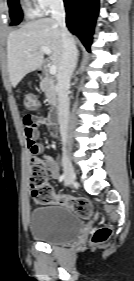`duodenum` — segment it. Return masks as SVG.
<instances>
[{
	"instance_id": "410a0bca",
	"label": "duodenum",
	"mask_w": 134,
	"mask_h": 281,
	"mask_svg": "<svg viewBox=\"0 0 134 281\" xmlns=\"http://www.w3.org/2000/svg\"><path fill=\"white\" fill-rule=\"evenodd\" d=\"M38 75L40 79H45L47 77V71L44 67L38 69ZM60 121V112L59 109L53 110L48 116V123L52 126H56Z\"/></svg>"
}]
</instances>
